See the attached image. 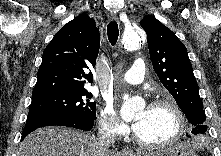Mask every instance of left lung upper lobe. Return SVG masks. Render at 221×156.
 Here are the masks:
<instances>
[{
    "label": "left lung upper lobe",
    "mask_w": 221,
    "mask_h": 156,
    "mask_svg": "<svg viewBox=\"0 0 221 156\" xmlns=\"http://www.w3.org/2000/svg\"><path fill=\"white\" fill-rule=\"evenodd\" d=\"M140 24L147 34L150 58L160 81L194 126L191 132L205 133L206 116L186 47L153 16L144 17Z\"/></svg>",
    "instance_id": "1"
}]
</instances>
